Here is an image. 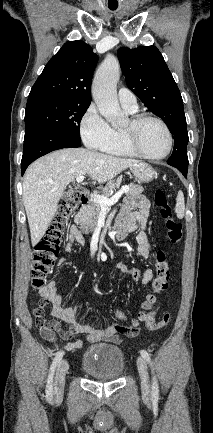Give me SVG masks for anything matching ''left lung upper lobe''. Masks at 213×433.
<instances>
[{
	"label": "left lung upper lobe",
	"mask_w": 213,
	"mask_h": 433,
	"mask_svg": "<svg viewBox=\"0 0 213 433\" xmlns=\"http://www.w3.org/2000/svg\"><path fill=\"white\" fill-rule=\"evenodd\" d=\"M120 66L127 86L162 118L174 135V148L168 162L188 167L186 147L189 141L180 91L164 58L155 46L118 49Z\"/></svg>",
	"instance_id": "1"
}]
</instances>
